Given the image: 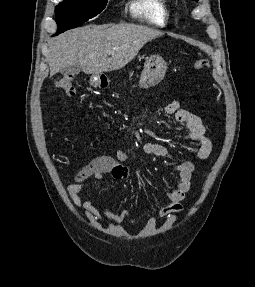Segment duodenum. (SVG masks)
Wrapping results in <instances>:
<instances>
[{
    "label": "duodenum",
    "mask_w": 255,
    "mask_h": 287,
    "mask_svg": "<svg viewBox=\"0 0 255 287\" xmlns=\"http://www.w3.org/2000/svg\"><path fill=\"white\" fill-rule=\"evenodd\" d=\"M100 86H101V87H105L106 84H105L104 82H100Z\"/></svg>",
    "instance_id": "410a0bca"
}]
</instances>
